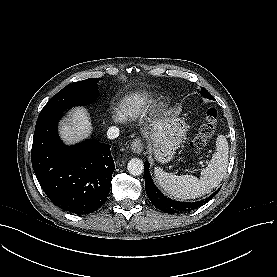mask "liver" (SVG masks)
Segmentation results:
<instances>
[{
    "label": "liver",
    "instance_id": "obj_1",
    "mask_svg": "<svg viewBox=\"0 0 277 277\" xmlns=\"http://www.w3.org/2000/svg\"><path fill=\"white\" fill-rule=\"evenodd\" d=\"M92 132L90 117L84 108H76L70 113L69 119L60 123L59 133L62 139L68 143H76Z\"/></svg>",
    "mask_w": 277,
    "mask_h": 277
}]
</instances>
